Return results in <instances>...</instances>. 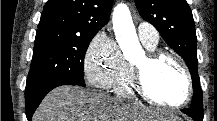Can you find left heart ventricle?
Returning <instances> with one entry per match:
<instances>
[{
  "instance_id": "obj_1",
  "label": "left heart ventricle",
  "mask_w": 217,
  "mask_h": 121,
  "mask_svg": "<svg viewBox=\"0 0 217 121\" xmlns=\"http://www.w3.org/2000/svg\"><path fill=\"white\" fill-rule=\"evenodd\" d=\"M144 58L135 64H141ZM149 92L164 103L179 102L186 92V81L181 69L171 60L164 59L146 71Z\"/></svg>"
}]
</instances>
